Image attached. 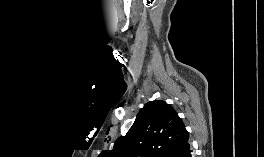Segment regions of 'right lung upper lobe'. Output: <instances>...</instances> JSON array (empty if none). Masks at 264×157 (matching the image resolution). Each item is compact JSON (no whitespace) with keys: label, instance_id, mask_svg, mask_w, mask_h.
Wrapping results in <instances>:
<instances>
[{"label":"right lung upper lobe","instance_id":"cb5924a9","mask_svg":"<svg viewBox=\"0 0 264 157\" xmlns=\"http://www.w3.org/2000/svg\"><path fill=\"white\" fill-rule=\"evenodd\" d=\"M188 132L173 107L162 100L148 102L108 157H172L188 142ZM102 156V155H100Z\"/></svg>","mask_w":264,"mask_h":157}]
</instances>
